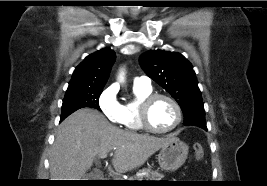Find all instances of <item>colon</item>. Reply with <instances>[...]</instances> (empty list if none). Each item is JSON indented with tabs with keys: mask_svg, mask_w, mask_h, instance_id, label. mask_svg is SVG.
<instances>
[{
	"mask_svg": "<svg viewBox=\"0 0 267 186\" xmlns=\"http://www.w3.org/2000/svg\"><path fill=\"white\" fill-rule=\"evenodd\" d=\"M192 148H193L194 158L196 160L201 159L204 154L202 145L200 143H194Z\"/></svg>",
	"mask_w": 267,
	"mask_h": 186,
	"instance_id": "colon-1",
	"label": "colon"
}]
</instances>
